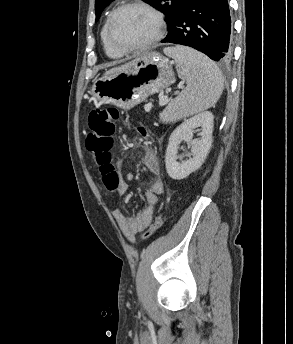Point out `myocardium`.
Here are the masks:
<instances>
[{"label":"myocardium","mask_w":293,"mask_h":344,"mask_svg":"<svg viewBox=\"0 0 293 344\" xmlns=\"http://www.w3.org/2000/svg\"><path fill=\"white\" fill-rule=\"evenodd\" d=\"M127 8H140L147 11L153 17L154 22H155V31L153 35L145 42L135 45V46H122L115 41L114 35H113V25H114V21L117 15L122 10L127 9ZM164 32H165V21H164L163 14L159 10H157L156 8H154L153 6H151L150 4L142 0H128L122 3L121 5H119L118 7H116L109 15L108 22H107V30H106L107 39L111 47L114 50L123 54L134 53V52H139V51L148 49L149 47L156 44L158 41L162 39Z\"/></svg>","instance_id":"myocardium-1"}]
</instances>
